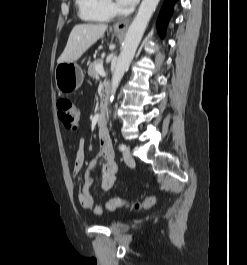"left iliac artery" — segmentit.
Segmentation results:
<instances>
[{
  "label": "left iliac artery",
  "instance_id": "1",
  "mask_svg": "<svg viewBox=\"0 0 247 265\" xmlns=\"http://www.w3.org/2000/svg\"><path fill=\"white\" fill-rule=\"evenodd\" d=\"M125 149H126V145L124 144L119 145V150L124 151Z\"/></svg>",
  "mask_w": 247,
  "mask_h": 265
}]
</instances>
